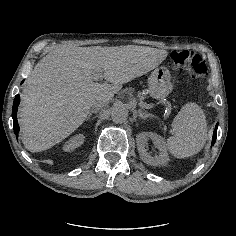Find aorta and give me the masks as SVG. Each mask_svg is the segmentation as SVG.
<instances>
[{"label":"aorta","instance_id":"762f6f07","mask_svg":"<svg viewBox=\"0 0 236 236\" xmlns=\"http://www.w3.org/2000/svg\"><path fill=\"white\" fill-rule=\"evenodd\" d=\"M111 118L115 123H123L128 119V110L122 106H116L111 111Z\"/></svg>","mask_w":236,"mask_h":236}]
</instances>
